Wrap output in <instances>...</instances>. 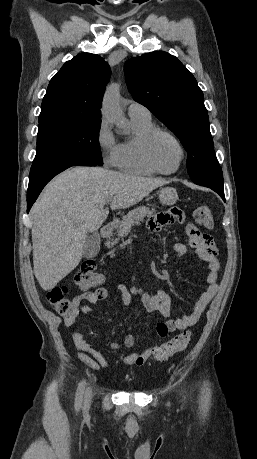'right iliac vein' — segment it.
<instances>
[{"instance_id":"right-iliac-vein-1","label":"right iliac vein","mask_w":257,"mask_h":459,"mask_svg":"<svg viewBox=\"0 0 257 459\" xmlns=\"http://www.w3.org/2000/svg\"><path fill=\"white\" fill-rule=\"evenodd\" d=\"M92 400V391L90 388H87L84 395V406L88 407Z\"/></svg>"}]
</instances>
